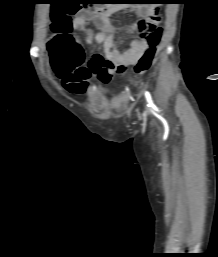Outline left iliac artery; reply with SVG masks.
Returning a JSON list of instances; mask_svg holds the SVG:
<instances>
[{"label": "left iliac artery", "mask_w": 218, "mask_h": 257, "mask_svg": "<svg viewBox=\"0 0 218 257\" xmlns=\"http://www.w3.org/2000/svg\"><path fill=\"white\" fill-rule=\"evenodd\" d=\"M145 97H146V100L148 102V106L155 109L156 107H155V105L153 103L151 94L148 91H145Z\"/></svg>", "instance_id": "44dca946"}]
</instances>
